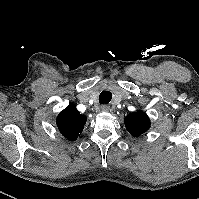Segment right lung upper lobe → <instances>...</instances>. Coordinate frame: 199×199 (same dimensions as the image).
<instances>
[{
  "mask_svg": "<svg viewBox=\"0 0 199 199\" xmlns=\"http://www.w3.org/2000/svg\"><path fill=\"white\" fill-rule=\"evenodd\" d=\"M86 116L81 115L74 104H69L57 117V126L61 134L69 139L75 140L83 131Z\"/></svg>",
  "mask_w": 199,
  "mask_h": 199,
  "instance_id": "1",
  "label": "right lung upper lobe"
}]
</instances>
